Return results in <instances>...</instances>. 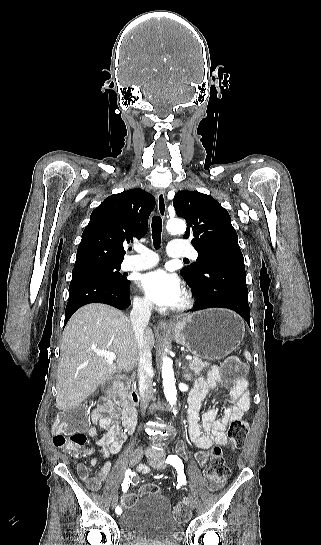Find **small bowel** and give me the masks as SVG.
Wrapping results in <instances>:
<instances>
[{"instance_id":"1","label":"small bowel","mask_w":321,"mask_h":545,"mask_svg":"<svg viewBox=\"0 0 321 545\" xmlns=\"http://www.w3.org/2000/svg\"><path fill=\"white\" fill-rule=\"evenodd\" d=\"M223 383L220 369L214 366L207 376L201 377L193 386L189 396L188 409V430L192 443L201 451L195 454V459L200 465H204L209 456V449L214 444L224 445L226 443L225 430L230 422L241 419L244 413L250 408V396L246 389L245 382L241 386L231 390V399L223 413L219 416V408L214 406L200 415V407L204 399L217 386ZM117 410L112 404L103 400L92 412L91 422L98 425L104 431V434L96 440V446L100 448L103 458L106 459L99 470L96 478L102 483L108 476L111 463L107 459L111 455L120 452L122 445L127 439V434L119 423L115 421ZM89 437L97 436V429L91 426L86 430ZM178 452L186 456L184 444H179ZM93 448L87 449V454H92ZM98 459L93 458L90 463L92 466L98 464ZM138 470L142 473L148 472V467L140 465Z\"/></svg>"}]
</instances>
